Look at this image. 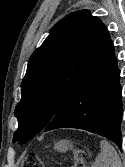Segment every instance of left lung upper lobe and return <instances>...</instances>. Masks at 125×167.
<instances>
[{
  "instance_id": "5c2ea615",
  "label": "left lung upper lobe",
  "mask_w": 125,
  "mask_h": 167,
  "mask_svg": "<svg viewBox=\"0 0 125 167\" xmlns=\"http://www.w3.org/2000/svg\"><path fill=\"white\" fill-rule=\"evenodd\" d=\"M109 32L89 10L66 15L30 57L15 108L13 143L43 130L89 74Z\"/></svg>"
}]
</instances>
